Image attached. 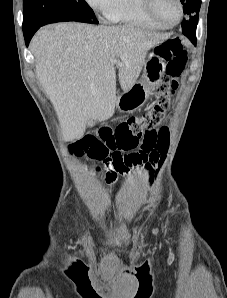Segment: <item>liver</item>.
Segmentation results:
<instances>
[{"label":"liver","instance_id":"1","mask_svg":"<svg viewBox=\"0 0 227 298\" xmlns=\"http://www.w3.org/2000/svg\"><path fill=\"white\" fill-rule=\"evenodd\" d=\"M169 37L131 26L79 22L40 29L30 44L36 75L54 106L64 140L80 139L91 122L111 118L116 69L126 92L137 81L147 52ZM111 57L116 64L110 63Z\"/></svg>","mask_w":227,"mask_h":298}]
</instances>
